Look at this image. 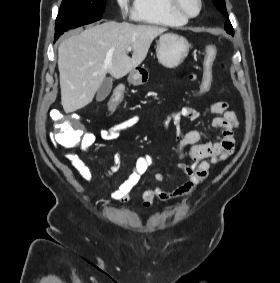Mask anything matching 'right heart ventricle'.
<instances>
[{
  "instance_id": "e07e8e85",
  "label": "right heart ventricle",
  "mask_w": 280,
  "mask_h": 283,
  "mask_svg": "<svg viewBox=\"0 0 280 283\" xmlns=\"http://www.w3.org/2000/svg\"><path fill=\"white\" fill-rule=\"evenodd\" d=\"M132 18L140 23L167 27L183 26L188 21L173 11L169 0H134Z\"/></svg>"
}]
</instances>
